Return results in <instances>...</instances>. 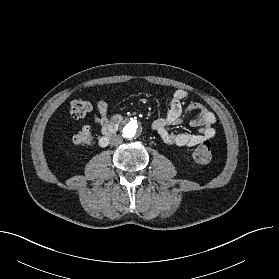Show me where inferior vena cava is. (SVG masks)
Wrapping results in <instances>:
<instances>
[{"instance_id":"602c4592","label":"inferior vena cava","mask_w":279,"mask_h":279,"mask_svg":"<svg viewBox=\"0 0 279 279\" xmlns=\"http://www.w3.org/2000/svg\"><path fill=\"white\" fill-rule=\"evenodd\" d=\"M123 142V138L120 135H113L110 138V144L113 146H119L120 144H122Z\"/></svg>"}]
</instances>
